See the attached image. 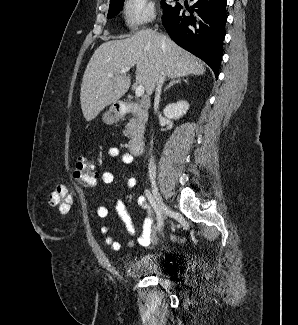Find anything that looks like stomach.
<instances>
[{
  "instance_id": "obj_1",
  "label": "stomach",
  "mask_w": 298,
  "mask_h": 325,
  "mask_svg": "<svg viewBox=\"0 0 298 325\" xmlns=\"http://www.w3.org/2000/svg\"><path fill=\"white\" fill-rule=\"evenodd\" d=\"M103 122H106V124H113V122H118L120 118V112L115 108L114 104L111 106L110 110H107V112H104L103 116Z\"/></svg>"
}]
</instances>
